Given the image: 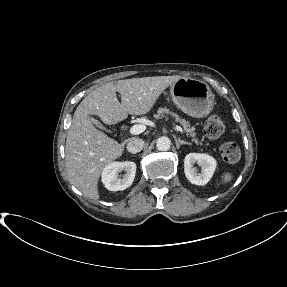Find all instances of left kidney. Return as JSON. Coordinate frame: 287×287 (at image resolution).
I'll use <instances>...</instances> for the list:
<instances>
[{
  "mask_svg": "<svg viewBox=\"0 0 287 287\" xmlns=\"http://www.w3.org/2000/svg\"><path fill=\"white\" fill-rule=\"evenodd\" d=\"M197 163L201 167V171L197 173L194 164ZM216 160L203 153H189L184 159V172L186 178L195 185L207 184L216 169Z\"/></svg>",
  "mask_w": 287,
  "mask_h": 287,
  "instance_id": "5707ae66",
  "label": "left kidney"
}]
</instances>
